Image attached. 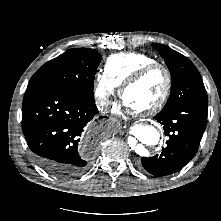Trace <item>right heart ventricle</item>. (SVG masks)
Instances as JSON below:
<instances>
[{
  "mask_svg": "<svg viewBox=\"0 0 221 221\" xmlns=\"http://www.w3.org/2000/svg\"><path fill=\"white\" fill-rule=\"evenodd\" d=\"M154 62H156V59L146 53H118L107 58L105 72L118 86H120L139 68Z\"/></svg>",
  "mask_w": 221,
  "mask_h": 221,
  "instance_id": "1",
  "label": "right heart ventricle"
}]
</instances>
